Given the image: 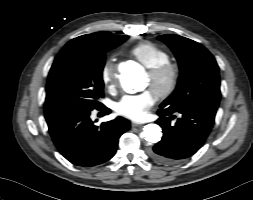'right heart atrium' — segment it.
Segmentation results:
<instances>
[{
    "label": "right heart atrium",
    "instance_id": "d8ad5b80",
    "mask_svg": "<svg viewBox=\"0 0 253 200\" xmlns=\"http://www.w3.org/2000/svg\"><path fill=\"white\" fill-rule=\"evenodd\" d=\"M101 80L103 84L112 90L117 82V66L113 59H107L101 68Z\"/></svg>",
    "mask_w": 253,
    "mask_h": 200
}]
</instances>
